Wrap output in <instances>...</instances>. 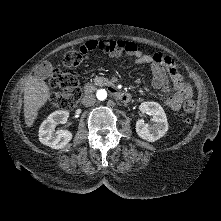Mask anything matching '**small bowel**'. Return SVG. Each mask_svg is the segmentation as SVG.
<instances>
[{
	"label": "small bowel",
	"instance_id": "obj_1",
	"mask_svg": "<svg viewBox=\"0 0 221 221\" xmlns=\"http://www.w3.org/2000/svg\"><path fill=\"white\" fill-rule=\"evenodd\" d=\"M79 51L84 55L101 52L114 57L125 54L132 57L137 64H147L152 72L153 87L162 91L163 101L171 110H179L191 97V89L178 72L175 62L161 52L145 54L132 41L102 39L86 41L80 46ZM137 81L140 82V79ZM169 82L172 83L171 93H169Z\"/></svg>",
	"mask_w": 221,
	"mask_h": 221
}]
</instances>
